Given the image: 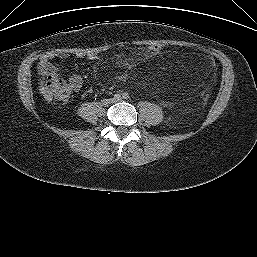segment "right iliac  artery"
Returning <instances> with one entry per match:
<instances>
[{
    "label": "right iliac artery",
    "mask_w": 257,
    "mask_h": 257,
    "mask_svg": "<svg viewBox=\"0 0 257 257\" xmlns=\"http://www.w3.org/2000/svg\"><path fill=\"white\" fill-rule=\"evenodd\" d=\"M120 97H121V95L118 93L114 95V99H119Z\"/></svg>",
    "instance_id": "1"
}]
</instances>
